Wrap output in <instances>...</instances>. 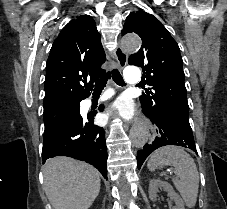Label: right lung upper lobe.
Segmentation results:
<instances>
[{
    "label": "right lung upper lobe",
    "instance_id": "obj_1",
    "mask_svg": "<svg viewBox=\"0 0 227 209\" xmlns=\"http://www.w3.org/2000/svg\"><path fill=\"white\" fill-rule=\"evenodd\" d=\"M106 61L94 19L71 20L54 41L46 65L44 107L80 102L90 95L93 82L105 73Z\"/></svg>",
    "mask_w": 227,
    "mask_h": 209
}]
</instances>
